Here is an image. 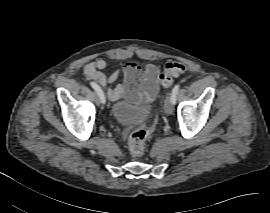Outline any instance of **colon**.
<instances>
[{
    "label": "colon",
    "instance_id": "1",
    "mask_svg": "<svg viewBox=\"0 0 270 213\" xmlns=\"http://www.w3.org/2000/svg\"><path fill=\"white\" fill-rule=\"evenodd\" d=\"M187 70V66L181 62H169L165 65L161 74L160 81L163 87L171 88L173 77ZM155 121L153 120L148 126L132 131L128 136V148L134 158L141 157L145 152L146 139L154 130Z\"/></svg>",
    "mask_w": 270,
    "mask_h": 213
}]
</instances>
